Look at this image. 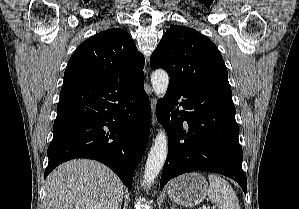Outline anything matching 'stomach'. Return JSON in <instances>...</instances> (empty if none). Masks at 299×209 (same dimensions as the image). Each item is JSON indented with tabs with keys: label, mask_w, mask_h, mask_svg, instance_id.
<instances>
[{
	"label": "stomach",
	"mask_w": 299,
	"mask_h": 209,
	"mask_svg": "<svg viewBox=\"0 0 299 209\" xmlns=\"http://www.w3.org/2000/svg\"><path fill=\"white\" fill-rule=\"evenodd\" d=\"M208 190V183L201 174L188 173L171 181L168 196L177 204L193 207L205 199Z\"/></svg>",
	"instance_id": "stomach-1"
}]
</instances>
